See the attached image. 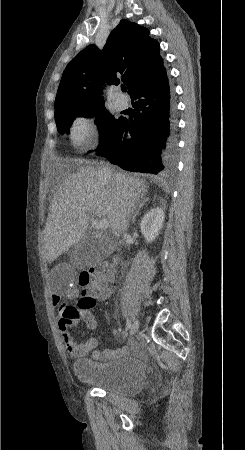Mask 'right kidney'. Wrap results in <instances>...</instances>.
I'll return each instance as SVG.
<instances>
[{"instance_id": "obj_1", "label": "right kidney", "mask_w": 245, "mask_h": 450, "mask_svg": "<svg viewBox=\"0 0 245 450\" xmlns=\"http://www.w3.org/2000/svg\"><path fill=\"white\" fill-rule=\"evenodd\" d=\"M164 211L161 208H153L146 213L141 221V232L147 242H152L158 236L163 227Z\"/></svg>"}]
</instances>
